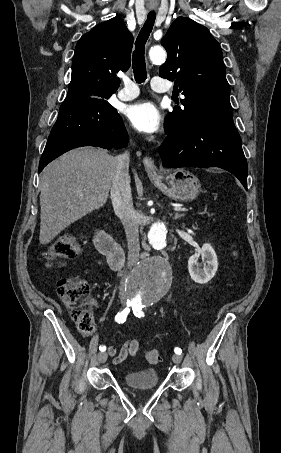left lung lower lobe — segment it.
<instances>
[{
    "label": "left lung lower lobe",
    "instance_id": "obj_1",
    "mask_svg": "<svg viewBox=\"0 0 281 453\" xmlns=\"http://www.w3.org/2000/svg\"><path fill=\"white\" fill-rule=\"evenodd\" d=\"M167 135L159 147L165 167H220L247 190V161L233 116L199 120Z\"/></svg>",
    "mask_w": 281,
    "mask_h": 453
}]
</instances>
